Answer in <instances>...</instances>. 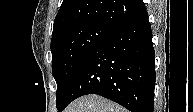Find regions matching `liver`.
I'll return each instance as SVG.
<instances>
[{"label":"liver","mask_w":193,"mask_h":112,"mask_svg":"<svg viewBox=\"0 0 193 112\" xmlns=\"http://www.w3.org/2000/svg\"><path fill=\"white\" fill-rule=\"evenodd\" d=\"M65 112H127V110L101 96L86 95L73 101Z\"/></svg>","instance_id":"1"}]
</instances>
